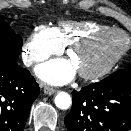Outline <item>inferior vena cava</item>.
<instances>
[{
    "label": "inferior vena cava",
    "instance_id": "obj_1",
    "mask_svg": "<svg viewBox=\"0 0 131 131\" xmlns=\"http://www.w3.org/2000/svg\"><path fill=\"white\" fill-rule=\"evenodd\" d=\"M32 59H30V58H25L24 59V64L26 65V66H30L31 64H32Z\"/></svg>",
    "mask_w": 131,
    "mask_h": 131
}]
</instances>
